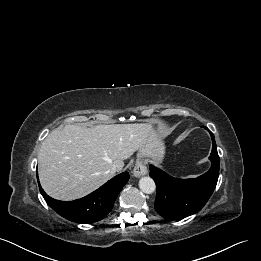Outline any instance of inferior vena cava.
I'll return each instance as SVG.
<instances>
[{"mask_svg":"<svg viewBox=\"0 0 261 261\" xmlns=\"http://www.w3.org/2000/svg\"><path fill=\"white\" fill-rule=\"evenodd\" d=\"M121 168H118L116 166H113L110 170V174L114 175L116 172H120Z\"/></svg>","mask_w":261,"mask_h":261,"instance_id":"obj_1","label":"inferior vena cava"}]
</instances>
